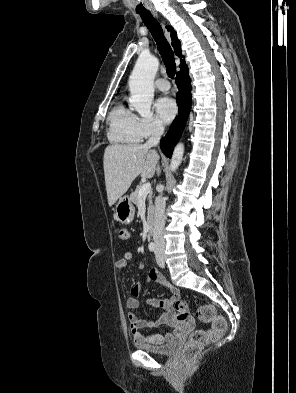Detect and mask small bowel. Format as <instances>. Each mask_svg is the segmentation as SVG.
I'll return each mask as SVG.
<instances>
[{"instance_id":"small-bowel-1","label":"small bowel","mask_w":296,"mask_h":393,"mask_svg":"<svg viewBox=\"0 0 296 393\" xmlns=\"http://www.w3.org/2000/svg\"><path fill=\"white\" fill-rule=\"evenodd\" d=\"M133 261V255L130 252L124 254L122 258L116 261V268L119 271L127 270ZM146 280H153L158 284L168 287L173 295L170 298L155 299L147 298L146 303L153 309L163 308L164 312L155 319H143L138 316L136 310L139 309V295L141 285L136 284L131 287L128 297L126 299V307L130 310L128 313V319L130 322L131 335L136 344H151L159 345L164 342L172 341L175 338L190 332L193 329L192 321L179 322L174 318L173 305L180 299L179 291L170 286L166 276L159 269H152L149 271ZM169 325L173 327L172 332L165 333L163 335L149 333L147 335L142 334L143 328H155L160 325Z\"/></svg>"}]
</instances>
